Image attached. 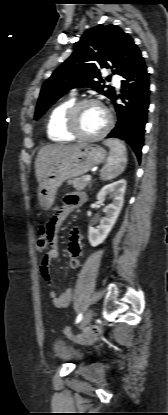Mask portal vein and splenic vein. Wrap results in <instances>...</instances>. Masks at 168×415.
<instances>
[{
    "instance_id": "1",
    "label": "portal vein and splenic vein",
    "mask_w": 168,
    "mask_h": 415,
    "mask_svg": "<svg viewBox=\"0 0 168 415\" xmlns=\"http://www.w3.org/2000/svg\"><path fill=\"white\" fill-rule=\"evenodd\" d=\"M86 181H90L91 180V175H87L85 178Z\"/></svg>"
}]
</instances>
